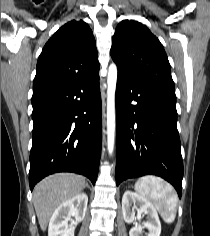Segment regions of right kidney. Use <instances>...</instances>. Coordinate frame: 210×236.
Returning a JSON list of instances; mask_svg holds the SVG:
<instances>
[{
    "label": "right kidney",
    "instance_id": "right-kidney-1",
    "mask_svg": "<svg viewBox=\"0 0 210 236\" xmlns=\"http://www.w3.org/2000/svg\"><path fill=\"white\" fill-rule=\"evenodd\" d=\"M88 196L78 194L61 203L54 211L48 228V236H74L77 223L82 221L87 210ZM75 217V220H71ZM71 220V224L68 221Z\"/></svg>",
    "mask_w": 210,
    "mask_h": 236
}]
</instances>
